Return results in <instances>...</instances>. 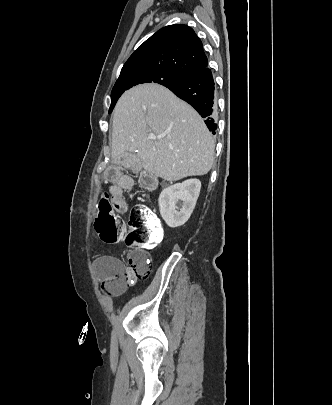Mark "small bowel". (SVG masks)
Segmentation results:
<instances>
[{"label": "small bowel", "mask_w": 332, "mask_h": 405, "mask_svg": "<svg viewBox=\"0 0 332 405\" xmlns=\"http://www.w3.org/2000/svg\"><path fill=\"white\" fill-rule=\"evenodd\" d=\"M107 167L108 168H104L102 186H112L109 204L113 206L116 215H126L128 210L120 182L122 186L129 187L131 178L124 175L122 162H109ZM93 264L98 275L104 281L111 278L116 273L126 271L121 261L110 255L95 258Z\"/></svg>", "instance_id": "small-bowel-1"}]
</instances>
